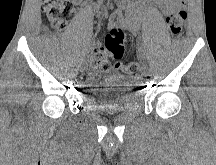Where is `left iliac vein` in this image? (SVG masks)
Returning a JSON list of instances; mask_svg holds the SVG:
<instances>
[{
  "mask_svg": "<svg viewBox=\"0 0 216 165\" xmlns=\"http://www.w3.org/2000/svg\"><path fill=\"white\" fill-rule=\"evenodd\" d=\"M143 69L144 71H147V65L145 63H143Z\"/></svg>",
  "mask_w": 216,
  "mask_h": 165,
  "instance_id": "obj_1",
  "label": "left iliac vein"
}]
</instances>
